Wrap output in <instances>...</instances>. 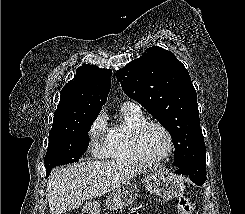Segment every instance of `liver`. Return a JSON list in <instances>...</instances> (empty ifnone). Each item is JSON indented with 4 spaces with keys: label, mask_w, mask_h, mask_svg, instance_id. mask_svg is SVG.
<instances>
[{
    "label": "liver",
    "mask_w": 245,
    "mask_h": 214,
    "mask_svg": "<svg viewBox=\"0 0 245 214\" xmlns=\"http://www.w3.org/2000/svg\"><path fill=\"white\" fill-rule=\"evenodd\" d=\"M141 172L120 161H85L55 169L47 182L50 213L62 214L80 207L85 200L112 192Z\"/></svg>",
    "instance_id": "6515ba94"
}]
</instances>
